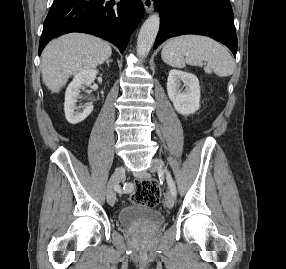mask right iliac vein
Wrapping results in <instances>:
<instances>
[{
	"instance_id": "1",
	"label": "right iliac vein",
	"mask_w": 286,
	"mask_h": 269,
	"mask_svg": "<svg viewBox=\"0 0 286 269\" xmlns=\"http://www.w3.org/2000/svg\"><path fill=\"white\" fill-rule=\"evenodd\" d=\"M125 178L124 167H118L112 174L107 185V201L110 205H114L116 201L115 187Z\"/></svg>"
}]
</instances>
